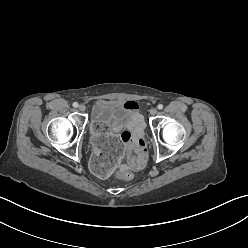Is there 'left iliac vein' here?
<instances>
[{
    "label": "left iliac vein",
    "instance_id": "obj_1",
    "mask_svg": "<svg viewBox=\"0 0 248 248\" xmlns=\"http://www.w3.org/2000/svg\"><path fill=\"white\" fill-rule=\"evenodd\" d=\"M150 114L151 115H156L157 114V109L156 108H152L151 110H150Z\"/></svg>",
    "mask_w": 248,
    "mask_h": 248
}]
</instances>
